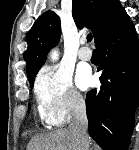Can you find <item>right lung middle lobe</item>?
Here are the masks:
<instances>
[{
  "mask_svg": "<svg viewBox=\"0 0 139 150\" xmlns=\"http://www.w3.org/2000/svg\"><path fill=\"white\" fill-rule=\"evenodd\" d=\"M30 85H31V87H33V81H32V82H30Z\"/></svg>",
  "mask_w": 139,
  "mask_h": 150,
  "instance_id": "right-lung-middle-lobe-1",
  "label": "right lung middle lobe"
}]
</instances>
